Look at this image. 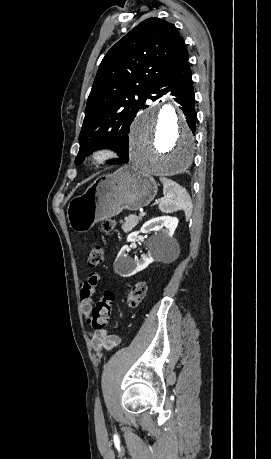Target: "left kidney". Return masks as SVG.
Returning <instances> with one entry per match:
<instances>
[{
  "label": "left kidney",
  "instance_id": "5707ae66",
  "mask_svg": "<svg viewBox=\"0 0 271 459\" xmlns=\"http://www.w3.org/2000/svg\"><path fill=\"white\" fill-rule=\"evenodd\" d=\"M163 226L165 229H162V233L154 235L149 253L141 255L140 259H128L126 251H128L129 245L121 247L115 259V265H117L120 275H123V277L134 275V273L145 269L149 263L155 261L154 257H159V255L166 253V251H175L176 247L172 235L178 226V220L177 218H171V216H160V218L148 220L139 231L129 233L127 241H135L138 233H148L150 229L163 228Z\"/></svg>",
  "mask_w": 271,
  "mask_h": 459
}]
</instances>
